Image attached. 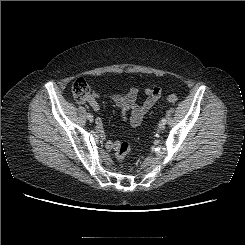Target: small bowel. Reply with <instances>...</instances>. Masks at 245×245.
<instances>
[{"label":"small bowel","instance_id":"small-bowel-1","mask_svg":"<svg viewBox=\"0 0 245 245\" xmlns=\"http://www.w3.org/2000/svg\"><path fill=\"white\" fill-rule=\"evenodd\" d=\"M138 92V87H131L126 94L111 93L107 95L115 105L122 109V119L124 123L131 127L138 126L144 115L161 97V89L159 87H146L143 100L140 103H136ZM87 103L93 110H99L96 94H91L87 99ZM117 144V142L107 140L106 148L108 150L115 149Z\"/></svg>","mask_w":245,"mask_h":245}]
</instances>
